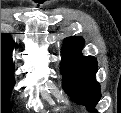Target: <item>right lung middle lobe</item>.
<instances>
[{
    "mask_svg": "<svg viewBox=\"0 0 121 113\" xmlns=\"http://www.w3.org/2000/svg\"><path fill=\"white\" fill-rule=\"evenodd\" d=\"M13 69L1 66V113H11L10 93L14 86Z\"/></svg>",
    "mask_w": 121,
    "mask_h": 113,
    "instance_id": "obj_1",
    "label": "right lung middle lobe"
}]
</instances>
